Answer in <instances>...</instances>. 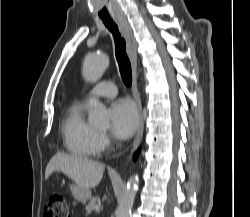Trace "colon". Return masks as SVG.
Wrapping results in <instances>:
<instances>
[{
    "instance_id": "colon-1",
    "label": "colon",
    "mask_w": 250,
    "mask_h": 217,
    "mask_svg": "<svg viewBox=\"0 0 250 217\" xmlns=\"http://www.w3.org/2000/svg\"><path fill=\"white\" fill-rule=\"evenodd\" d=\"M43 217H70L67 201L61 193L50 194Z\"/></svg>"
}]
</instances>
